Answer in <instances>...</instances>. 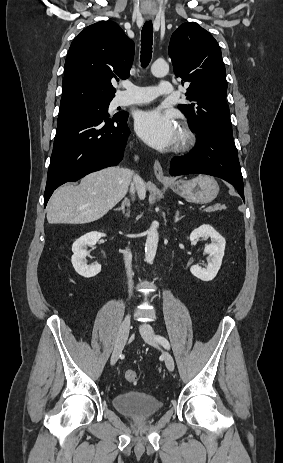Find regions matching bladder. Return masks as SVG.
I'll return each instance as SVG.
<instances>
[{
    "label": "bladder",
    "mask_w": 283,
    "mask_h": 463,
    "mask_svg": "<svg viewBox=\"0 0 283 463\" xmlns=\"http://www.w3.org/2000/svg\"><path fill=\"white\" fill-rule=\"evenodd\" d=\"M113 404L119 413L134 419L151 417L162 406L158 397L139 391L119 393L114 396Z\"/></svg>",
    "instance_id": "1"
}]
</instances>
